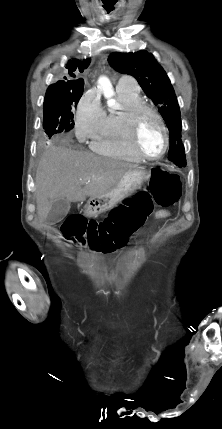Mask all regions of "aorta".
<instances>
[{"label":"aorta","instance_id":"aorta-1","mask_svg":"<svg viewBox=\"0 0 222 429\" xmlns=\"http://www.w3.org/2000/svg\"><path fill=\"white\" fill-rule=\"evenodd\" d=\"M100 88L103 90L105 97L110 98L113 95V89L110 81L106 77L99 79ZM110 105H113V101H109Z\"/></svg>","mask_w":222,"mask_h":429}]
</instances>
